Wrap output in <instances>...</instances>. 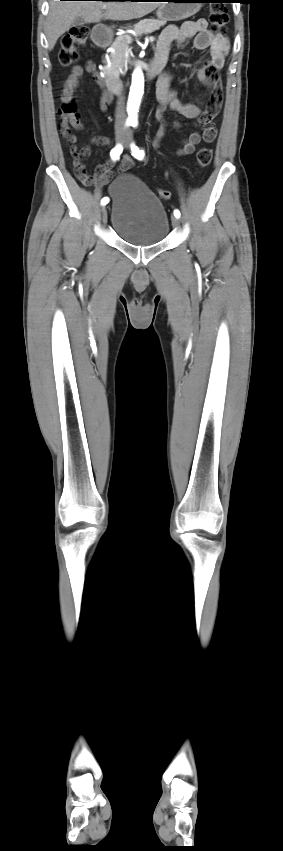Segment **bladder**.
<instances>
[{"mask_svg":"<svg viewBox=\"0 0 283 851\" xmlns=\"http://www.w3.org/2000/svg\"><path fill=\"white\" fill-rule=\"evenodd\" d=\"M111 223L115 233L134 246H152L165 239L169 218L157 195L132 174L118 176L110 186Z\"/></svg>","mask_w":283,"mask_h":851,"instance_id":"1","label":"bladder"}]
</instances>
